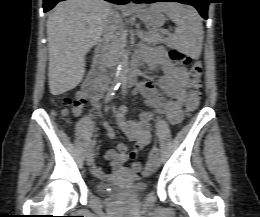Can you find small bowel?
<instances>
[{
	"label": "small bowel",
	"mask_w": 260,
	"mask_h": 217,
	"mask_svg": "<svg viewBox=\"0 0 260 217\" xmlns=\"http://www.w3.org/2000/svg\"><path fill=\"white\" fill-rule=\"evenodd\" d=\"M144 60L150 70L159 73V77L156 81L151 79L138 81L134 86V92L144 97L153 111L142 112L138 119H127V108L121 106L117 109L116 121L128 138L134 142V146L128 151L124 143H119L115 150L106 153L105 157L112 172L122 168L128 160L135 158L150 143L151 121L156 113L165 115L171 124H177L182 119V108L188 100L191 83L185 68L175 66L166 52L160 48L147 51ZM101 94L95 93L88 96L82 92L79 93L73 104V113L80 116L87 100L95 108L101 109L99 102ZM103 126L109 138H115V132L110 125L103 122ZM92 172L99 179L107 177V173L101 171L97 165L93 166Z\"/></svg>",
	"instance_id": "c3829d8e"
}]
</instances>
